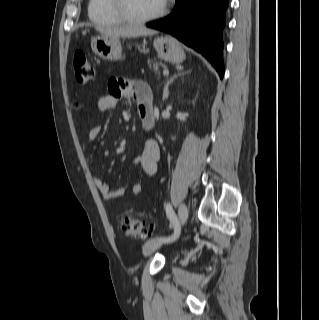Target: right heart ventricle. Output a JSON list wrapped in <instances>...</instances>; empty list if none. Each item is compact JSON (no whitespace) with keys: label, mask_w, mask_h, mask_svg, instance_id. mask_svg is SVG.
<instances>
[{"label":"right heart ventricle","mask_w":319,"mask_h":320,"mask_svg":"<svg viewBox=\"0 0 319 320\" xmlns=\"http://www.w3.org/2000/svg\"><path fill=\"white\" fill-rule=\"evenodd\" d=\"M88 16L92 22L102 26H113L123 23L110 9L109 0H89Z\"/></svg>","instance_id":"obj_1"}]
</instances>
